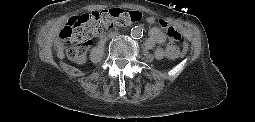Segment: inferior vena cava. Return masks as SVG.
Instances as JSON below:
<instances>
[{"mask_svg":"<svg viewBox=\"0 0 255 122\" xmlns=\"http://www.w3.org/2000/svg\"><path fill=\"white\" fill-rule=\"evenodd\" d=\"M117 36H118V33H116V32L109 33V37H111V38H114V37H117Z\"/></svg>","mask_w":255,"mask_h":122,"instance_id":"obj_1","label":"inferior vena cava"}]
</instances>
